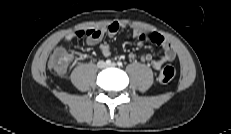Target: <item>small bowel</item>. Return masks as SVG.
Instances as JSON below:
<instances>
[{"mask_svg":"<svg viewBox=\"0 0 231 134\" xmlns=\"http://www.w3.org/2000/svg\"><path fill=\"white\" fill-rule=\"evenodd\" d=\"M120 29L118 22H112L108 26L101 29H89V30H77L73 31L65 36V41H71L75 38L86 36V43L89 46L97 45L102 38L106 35L108 37L115 36ZM133 35L140 41H147L160 46L163 50L162 55L158 59H154L150 52L143 53L137 56L135 53H130L129 58L135 60L139 58L143 62L150 63L154 69H160L162 65L173 61L176 57V53L172 45L160 34L149 31H142L135 29ZM101 52L105 57L110 56V49L108 45L101 46ZM71 55V54H70ZM72 58V55H71Z\"/></svg>","mask_w":231,"mask_h":134,"instance_id":"small-bowel-1","label":"small bowel"}]
</instances>
